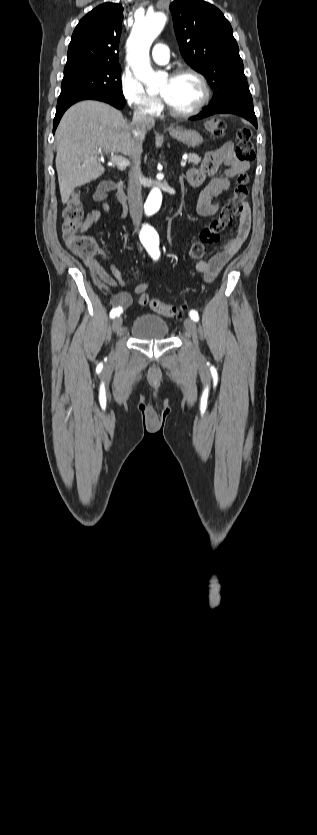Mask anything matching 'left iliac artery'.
Returning <instances> with one entry per match:
<instances>
[{
  "instance_id": "left-iliac-artery-1",
  "label": "left iliac artery",
  "mask_w": 317,
  "mask_h": 835,
  "mask_svg": "<svg viewBox=\"0 0 317 835\" xmlns=\"http://www.w3.org/2000/svg\"><path fill=\"white\" fill-rule=\"evenodd\" d=\"M189 316H190V317H191V319H193L194 321H198V320H199V315H198V312H197L196 310H191V311H190V313H189Z\"/></svg>"
}]
</instances>
